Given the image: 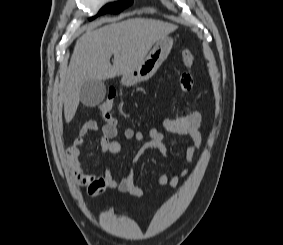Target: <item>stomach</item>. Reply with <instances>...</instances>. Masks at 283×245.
Segmentation results:
<instances>
[{"mask_svg":"<svg viewBox=\"0 0 283 245\" xmlns=\"http://www.w3.org/2000/svg\"><path fill=\"white\" fill-rule=\"evenodd\" d=\"M172 46L173 39L170 37H164L157 41L145 59L137 67L122 76V84L132 86L151 78L166 60Z\"/></svg>","mask_w":283,"mask_h":245,"instance_id":"0dacf381","label":"stomach"}]
</instances>
